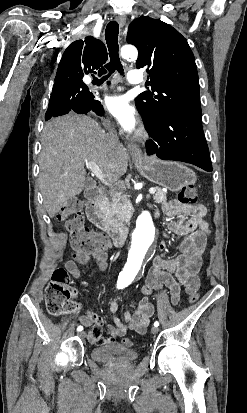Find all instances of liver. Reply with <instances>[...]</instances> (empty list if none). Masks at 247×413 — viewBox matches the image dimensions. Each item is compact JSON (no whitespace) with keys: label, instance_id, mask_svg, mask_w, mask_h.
Listing matches in <instances>:
<instances>
[{"label":"liver","instance_id":"obj_1","mask_svg":"<svg viewBox=\"0 0 247 413\" xmlns=\"http://www.w3.org/2000/svg\"><path fill=\"white\" fill-rule=\"evenodd\" d=\"M105 134L98 122L86 114L69 112L46 122L39 154V184L51 219L68 198L83 190L86 160L96 162L109 182L125 174L129 154L121 142L112 144Z\"/></svg>","mask_w":247,"mask_h":413}]
</instances>
